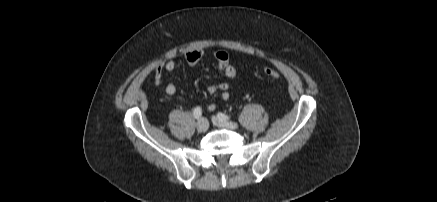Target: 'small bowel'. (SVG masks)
Masks as SVG:
<instances>
[{
  "label": "small bowel",
  "mask_w": 437,
  "mask_h": 202,
  "mask_svg": "<svg viewBox=\"0 0 437 202\" xmlns=\"http://www.w3.org/2000/svg\"><path fill=\"white\" fill-rule=\"evenodd\" d=\"M202 56H203L202 50H200V49L190 50L185 54V62L189 66H194L201 60ZM214 59L216 62V66L219 69L223 70L229 78H231V79L235 78L236 70H235L234 66L230 63L229 55L225 51H216L214 53ZM175 68H176V62L174 60H168L164 63L158 64L156 69H155V82H156V84L161 83L162 73L164 70L168 71V72H172ZM229 88H230L229 83L220 82L217 84L210 85L207 88V92H208V94L213 95L216 92L220 91L221 92V99L223 101H227L230 97ZM176 90H177L176 86L173 83H168L166 85V88H165V93L167 96L173 97L176 93ZM208 108H209V110H215L216 104L211 103Z\"/></svg>",
  "instance_id": "1"
}]
</instances>
